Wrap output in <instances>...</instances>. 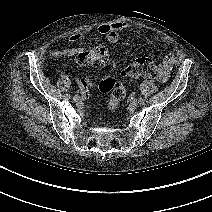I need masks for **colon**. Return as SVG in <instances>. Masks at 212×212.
<instances>
[{
    "label": "colon",
    "instance_id": "colon-1",
    "mask_svg": "<svg viewBox=\"0 0 212 212\" xmlns=\"http://www.w3.org/2000/svg\"><path fill=\"white\" fill-rule=\"evenodd\" d=\"M107 57V48L103 45H97L79 54V61L88 67L101 68L105 65ZM160 74L161 70L151 58L139 57L127 66L122 75L125 79L131 80L139 78L159 79ZM99 90L104 94H111L109 101L110 111H115L125 99L126 92L124 87L118 84L117 80L111 75L103 77L99 84Z\"/></svg>",
    "mask_w": 212,
    "mask_h": 212
}]
</instances>
